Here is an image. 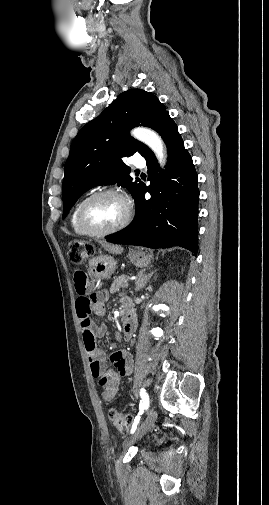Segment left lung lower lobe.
Instances as JSON below:
<instances>
[{
    "label": "left lung lower lobe",
    "mask_w": 269,
    "mask_h": 505,
    "mask_svg": "<svg viewBox=\"0 0 269 505\" xmlns=\"http://www.w3.org/2000/svg\"><path fill=\"white\" fill-rule=\"evenodd\" d=\"M165 141L168 150L166 170H160L151 150L147 161L148 180L142 183L135 199L136 214L133 222L108 242L139 245L148 248L180 246L198 252L197 173L192 158L184 148L178 128L169 114L155 129ZM149 192L151 198L145 200Z\"/></svg>",
    "instance_id": "obj_1"
}]
</instances>
